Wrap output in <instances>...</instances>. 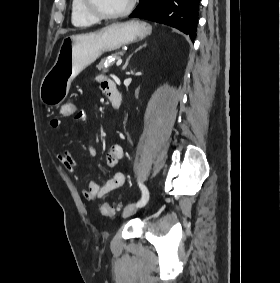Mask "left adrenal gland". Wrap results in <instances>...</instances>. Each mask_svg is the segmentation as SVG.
Instances as JSON below:
<instances>
[{
    "mask_svg": "<svg viewBox=\"0 0 280 283\" xmlns=\"http://www.w3.org/2000/svg\"><path fill=\"white\" fill-rule=\"evenodd\" d=\"M146 45H147V44L145 43L143 46L139 47L136 51L142 49V48L145 47ZM131 56H132V55H130L129 58L126 60L125 64H124L123 67H122V70H125L126 67L128 66V63H129V60H130Z\"/></svg>",
    "mask_w": 280,
    "mask_h": 283,
    "instance_id": "obj_1",
    "label": "left adrenal gland"
}]
</instances>
